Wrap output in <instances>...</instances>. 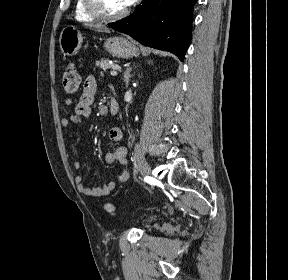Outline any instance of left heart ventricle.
Instances as JSON below:
<instances>
[{"label":"left heart ventricle","instance_id":"left-heart-ventricle-1","mask_svg":"<svg viewBox=\"0 0 288 280\" xmlns=\"http://www.w3.org/2000/svg\"><path fill=\"white\" fill-rule=\"evenodd\" d=\"M103 10L108 14H116L123 11L126 7L123 0H99Z\"/></svg>","mask_w":288,"mask_h":280}]
</instances>
